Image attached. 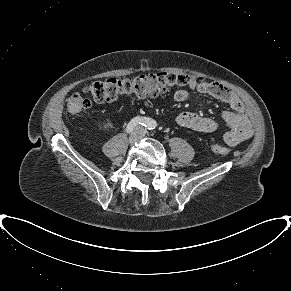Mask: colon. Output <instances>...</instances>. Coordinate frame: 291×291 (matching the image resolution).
Segmentation results:
<instances>
[{"label": "colon", "mask_w": 291, "mask_h": 291, "mask_svg": "<svg viewBox=\"0 0 291 291\" xmlns=\"http://www.w3.org/2000/svg\"><path fill=\"white\" fill-rule=\"evenodd\" d=\"M206 81L202 78H193L186 74L169 72L151 73L131 78H109L92 82L86 86L83 92L98 103H110L124 97H157L173 89L192 85H200ZM92 106L90 99L81 94L73 95L67 101L69 114H78ZM209 147L218 155H229L231 149L218 144L214 138L210 139Z\"/></svg>", "instance_id": "1"}]
</instances>
